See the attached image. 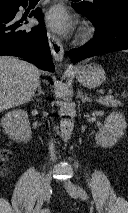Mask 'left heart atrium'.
I'll return each instance as SVG.
<instances>
[{"instance_id": "1", "label": "left heart atrium", "mask_w": 128, "mask_h": 213, "mask_svg": "<svg viewBox=\"0 0 128 213\" xmlns=\"http://www.w3.org/2000/svg\"><path fill=\"white\" fill-rule=\"evenodd\" d=\"M45 25L57 32H67L70 28V19L63 7L51 8L44 17Z\"/></svg>"}]
</instances>
